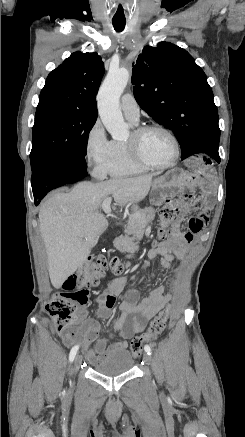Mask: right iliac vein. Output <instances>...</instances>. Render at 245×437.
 <instances>
[{
  "instance_id": "right-iliac-vein-1",
  "label": "right iliac vein",
  "mask_w": 245,
  "mask_h": 437,
  "mask_svg": "<svg viewBox=\"0 0 245 437\" xmlns=\"http://www.w3.org/2000/svg\"><path fill=\"white\" fill-rule=\"evenodd\" d=\"M80 363H81V358H80L79 355H77L75 357V359H74V362H73V372H74V374L78 371Z\"/></svg>"
}]
</instances>
